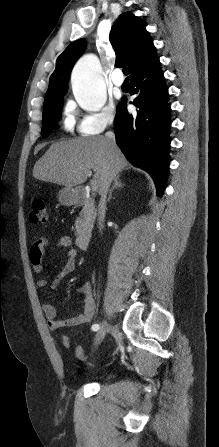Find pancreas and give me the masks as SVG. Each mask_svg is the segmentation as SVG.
Returning a JSON list of instances; mask_svg holds the SVG:
<instances>
[{"instance_id":"cf45deb5","label":"pancreas","mask_w":219,"mask_h":447,"mask_svg":"<svg viewBox=\"0 0 219 447\" xmlns=\"http://www.w3.org/2000/svg\"><path fill=\"white\" fill-rule=\"evenodd\" d=\"M96 213L94 211H90L89 213L82 211L80 216L76 219L75 229L76 234L88 233L90 234L93 223L95 219Z\"/></svg>"}]
</instances>
